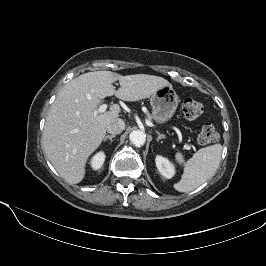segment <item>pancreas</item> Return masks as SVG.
Segmentation results:
<instances>
[{
    "instance_id": "obj_1",
    "label": "pancreas",
    "mask_w": 266,
    "mask_h": 266,
    "mask_svg": "<svg viewBox=\"0 0 266 266\" xmlns=\"http://www.w3.org/2000/svg\"><path fill=\"white\" fill-rule=\"evenodd\" d=\"M147 117H148L149 120L152 119V115L149 112H147Z\"/></svg>"
}]
</instances>
